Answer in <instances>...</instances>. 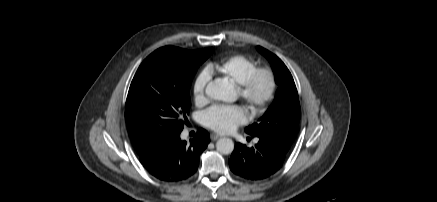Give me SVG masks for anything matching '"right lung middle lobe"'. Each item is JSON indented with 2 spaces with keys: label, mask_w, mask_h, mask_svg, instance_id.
<instances>
[{
  "label": "right lung middle lobe",
  "mask_w": 437,
  "mask_h": 202,
  "mask_svg": "<svg viewBox=\"0 0 437 202\" xmlns=\"http://www.w3.org/2000/svg\"><path fill=\"white\" fill-rule=\"evenodd\" d=\"M213 48L188 51L166 46L150 54L129 88L125 120L138 154L182 131L187 120L190 86Z\"/></svg>",
  "instance_id": "right-lung-middle-lobe-1"
}]
</instances>
